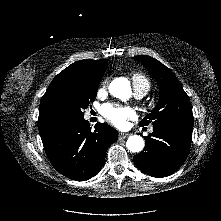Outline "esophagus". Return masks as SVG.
Segmentation results:
<instances>
[{"mask_svg": "<svg viewBox=\"0 0 221 221\" xmlns=\"http://www.w3.org/2000/svg\"><path fill=\"white\" fill-rule=\"evenodd\" d=\"M128 136H129L128 133H123V132L119 133V138H127Z\"/></svg>", "mask_w": 221, "mask_h": 221, "instance_id": "34e87169", "label": "esophagus"}]
</instances>
